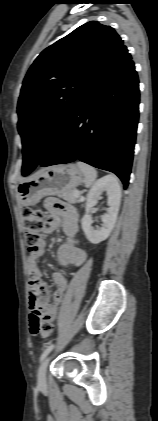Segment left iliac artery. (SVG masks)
Listing matches in <instances>:
<instances>
[{
	"label": "left iliac artery",
	"instance_id": "left-iliac-artery-1",
	"mask_svg": "<svg viewBox=\"0 0 158 421\" xmlns=\"http://www.w3.org/2000/svg\"><path fill=\"white\" fill-rule=\"evenodd\" d=\"M53 347L54 345L51 344L44 350V352L41 354L40 361H43L46 358V356L52 351Z\"/></svg>",
	"mask_w": 158,
	"mask_h": 421
}]
</instances>
